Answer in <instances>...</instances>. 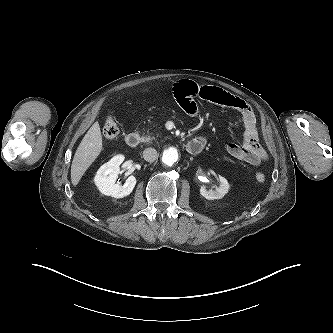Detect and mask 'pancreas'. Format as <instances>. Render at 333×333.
I'll return each instance as SVG.
<instances>
[{
    "label": "pancreas",
    "instance_id": "pancreas-1",
    "mask_svg": "<svg viewBox=\"0 0 333 333\" xmlns=\"http://www.w3.org/2000/svg\"><path fill=\"white\" fill-rule=\"evenodd\" d=\"M154 139L155 137L152 136V133L151 134L147 133V135L143 137V142L151 144Z\"/></svg>",
    "mask_w": 333,
    "mask_h": 333
}]
</instances>
